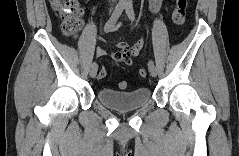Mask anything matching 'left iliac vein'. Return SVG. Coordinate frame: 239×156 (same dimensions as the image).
<instances>
[{
  "label": "left iliac vein",
  "instance_id": "1",
  "mask_svg": "<svg viewBox=\"0 0 239 156\" xmlns=\"http://www.w3.org/2000/svg\"><path fill=\"white\" fill-rule=\"evenodd\" d=\"M149 72H150L152 77H156L157 76V69H156L155 66L149 67Z\"/></svg>",
  "mask_w": 239,
  "mask_h": 156
}]
</instances>
